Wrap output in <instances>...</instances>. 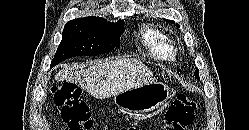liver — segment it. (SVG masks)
<instances>
[{"label":"liver","mask_w":249,"mask_h":130,"mask_svg":"<svg viewBox=\"0 0 249 130\" xmlns=\"http://www.w3.org/2000/svg\"><path fill=\"white\" fill-rule=\"evenodd\" d=\"M55 79L79 83L97 99L110 98L123 91L157 81L145 64L132 58L111 60L94 65L91 63L88 68L74 72L61 70Z\"/></svg>","instance_id":"1"}]
</instances>
